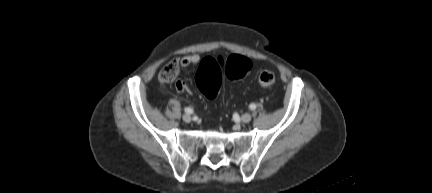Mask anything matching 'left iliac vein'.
Here are the masks:
<instances>
[{"instance_id":"4c4485c4","label":"left iliac vein","mask_w":432,"mask_h":193,"mask_svg":"<svg viewBox=\"0 0 432 193\" xmlns=\"http://www.w3.org/2000/svg\"><path fill=\"white\" fill-rule=\"evenodd\" d=\"M251 119H252V116H251V114H249V113H244V114L241 116V121H242L243 123H249V122L251 121Z\"/></svg>"}]
</instances>
